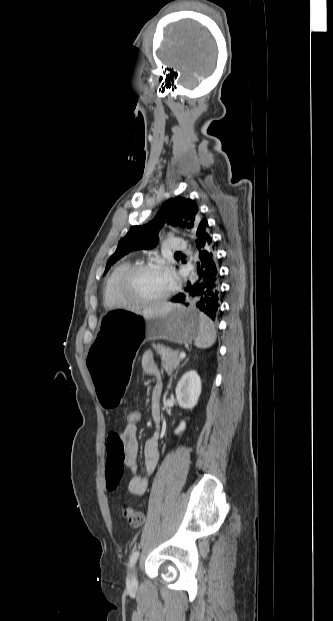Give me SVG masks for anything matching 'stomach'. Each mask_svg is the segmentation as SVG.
Here are the masks:
<instances>
[{"label": "stomach", "instance_id": "stomach-1", "mask_svg": "<svg viewBox=\"0 0 333 621\" xmlns=\"http://www.w3.org/2000/svg\"><path fill=\"white\" fill-rule=\"evenodd\" d=\"M199 331V314L184 306L156 317L111 310L102 314L98 335L88 346L90 379L94 394L104 411L119 409V401L130 384V370L138 348L147 341L191 342Z\"/></svg>", "mask_w": 333, "mask_h": 621}]
</instances>
